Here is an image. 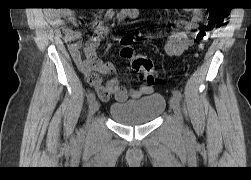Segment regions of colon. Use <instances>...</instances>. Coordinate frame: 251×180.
<instances>
[{"label": "colon", "instance_id": "colon-1", "mask_svg": "<svg viewBox=\"0 0 251 180\" xmlns=\"http://www.w3.org/2000/svg\"><path fill=\"white\" fill-rule=\"evenodd\" d=\"M228 10L213 8L209 10L208 18L196 32V40L199 42V48H202L208 40L210 33L220 28L228 18ZM122 46L121 56L131 61L133 70L145 81L147 84H153L155 80V69L153 62L146 56L136 55L132 45L134 42V35L128 34L119 38Z\"/></svg>", "mask_w": 251, "mask_h": 180}]
</instances>
